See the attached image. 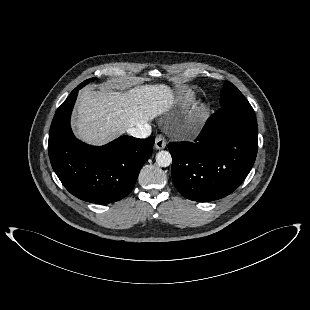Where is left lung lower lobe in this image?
Returning a JSON list of instances; mask_svg holds the SVG:
<instances>
[{
	"label": "left lung lower lobe",
	"instance_id": "1",
	"mask_svg": "<svg viewBox=\"0 0 310 310\" xmlns=\"http://www.w3.org/2000/svg\"><path fill=\"white\" fill-rule=\"evenodd\" d=\"M257 148V121L250 103L222 107L194 142L169 143L173 183L187 199H221L244 181Z\"/></svg>",
	"mask_w": 310,
	"mask_h": 310
}]
</instances>
